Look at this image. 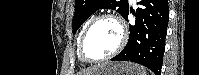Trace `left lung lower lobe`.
<instances>
[{
    "instance_id": "left-lung-lower-lobe-1",
    "label": "left lung lower lobe",
    "mask_w": 199,
    "mask_h": 75,
    "mask_svg": "<svg viewBox=\"0 0 199 75\" xmlns=\"http://www.w3.org/2000/svg\"><path fill=\"white\" fill-rule=\"evenodd\" d=\"M135 25L130 26L126 47L111 60L141 64L161 75L165 38L169 20L167 0H141ZM129 9L124 16L128 20Z\"/></svg>"
}]
</instances>
